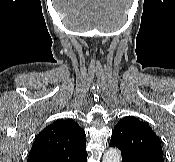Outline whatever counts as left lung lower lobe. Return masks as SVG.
I'll use <instances>...</instances> for the list:
<instances>
[{"label": "left lung lower lobe", "instance_id": "0a47b994", "mask_svg": "<svg viewBox=\"0 0 175 162\" xmlns=\"http://www.w3.org/2000/svg\"><path fill=\"white\" fill-rule=\"evenodd\" d=\"M122 162H164V159L161 155L145 154L132 159L122 157Z\"/></svg>", "mask_w": 175, "mask_h": 162}]
</instances>
